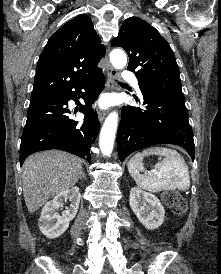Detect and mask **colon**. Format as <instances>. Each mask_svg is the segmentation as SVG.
I'll use <instances>...</instances> for the list:
<instances>
[{
    "instance_id": "obj_1",
    "label": "colon",
    "mask_w": 221,
    "mask_h": 274,
    "mask_svg": "<svg viewBox=\"0 0 221 274\" xmlns=\"http://www.w3.org/2000/svg\"><path fill=\"white\" fill-rule=\"evenodd\" d=\"M163 201L176 214H184L187 210L185 199L177 191L165 192Z\"/></svg>"
}]
</instances>
